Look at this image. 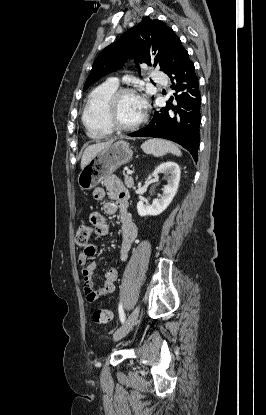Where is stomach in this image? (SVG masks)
Returning a JSON list of instances; mask_svg holds the SVG:
<instances>
[{
    "label": "stomach",
    "mask_w": 266,
    "mask_h": 415,
    "mask_svg": "<svg viewBox=\"0 0 266 415\" xmlns=\"http://www.w3.org/2000/svg\"><path fill=\"white\" fill-rule=\"evenodd\" d=\"M129 144L123 140L112 143L101 150L81 170L78 185L82 190H91L121 165L127 164L132 158Z\"/></svg>",
    "instance_id": "1"
}]
</instances>
